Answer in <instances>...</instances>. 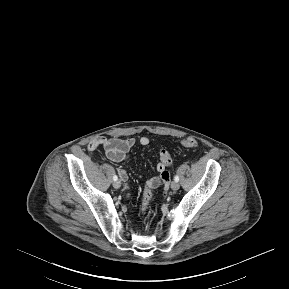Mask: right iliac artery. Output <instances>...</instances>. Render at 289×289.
Here are the masks:
<instances>
[{"label": "right iliac artery", "mask_w": 289, "mask_h": 289, "mask_svg": "<svg viewBox=\"0 0 289 289\" xmlns=\"http://www.w3.org/2000/svg\"><path fill=\"white\" fill-rule=\"evenodd\" d=\"M113 180H114V181L118 180L117 175H114V176H113Z\"/></svg>", "instance_id": "right-iliac-artery-1"}]
</instances>
